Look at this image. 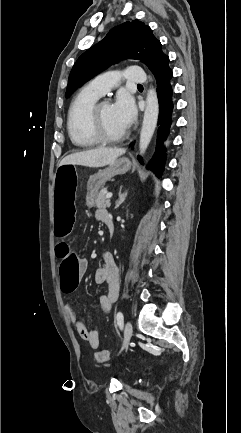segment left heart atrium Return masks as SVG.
I'll return each mask as SVG.
<instances>
[{
  "label": "left heart atrium",
  "instance_id": "obj_1",
  "mask_svg": "<svg viewBox=\"0 0 241 433\" xmlns=\"http://www.w3.org/2000/svg\"><path fill=\"white\" fill-rule=\"evenodd\" d=\"M112 108L123 128L125 130L129 128L136 117V110L132 98L126 93H121L117 96Z\"/></svg>",
  "mask_w": 241,
  "mask_h": 433
}]
</instances>
